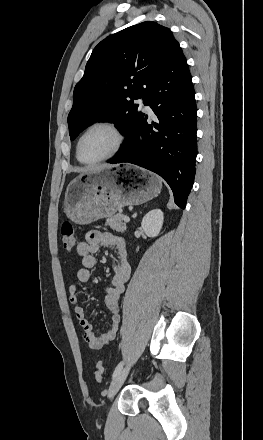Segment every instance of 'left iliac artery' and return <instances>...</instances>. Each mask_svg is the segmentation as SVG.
<instances>
[{
	"label": "left iliac artery",
	"instance_id": "left-iliac-artery-1",
	"mask_svg": "<svg viewBox=\"0 0 263 440\" xmlns=\"http://www.w3.org/2000/svg\"><path fill=\"white\" fill-rule=\"evenodd\" d=\"M122 367H123V362H120L113 372V376H112L113 378H115L118 375V373L121 371Z\"/></svg>",
	"mask_w": 263,
	"mask_h": 440
}]
</instances>
